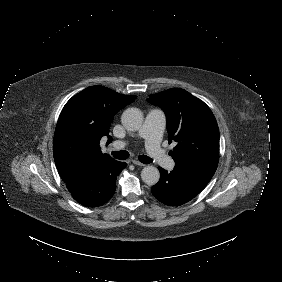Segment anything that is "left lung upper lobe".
<instances>
[{"label": "left lung upper lobe", "instance_id": "left-lung-upper-lobe-1", "mask_svg": "<svg viewBox=\"0 0 282 282\" xmlns=\"http://www.w3.org/2000/svg\"><path fill=\"white\" fill-rule=\"evenodd\" d=\"M147 100L166 114L169 143L177 142L170 152L176 164L218 163L219 129L212 111L203 101L180 88L152 94Z\"/></svg>", "mask_w": 282, "mask_h": 282}]
</instances>
